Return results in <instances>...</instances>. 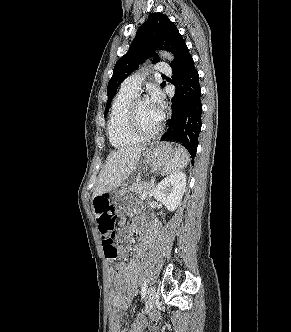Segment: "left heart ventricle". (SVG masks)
<instances>
[{
    "label": "left heart ventricle",
    "instance_id": "b2bd125f",
    "mask_svg": "<svg viewBox=\"0 0 291 332\" xmlns=\"http://www.w3.org/2000/svg\"><path fill=\"white\" fill-rule=\"evenodd\" d=\"M161 122V112L149 100L142 102L138 107V124L145 132L155 130Z\"/></svg>",
    "mask_w": 291,
    "mask_h": 332
}]
</instances>
